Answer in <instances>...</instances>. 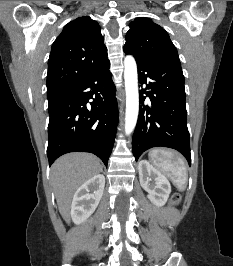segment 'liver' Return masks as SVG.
Here are the masks:
<instances>
[{
    "mask_svg": "<svg viewBox=\"0 0 233 266\" xmlns=\"http://www.w3.org/2000/svg\"><path fill=\"white\" fill-rule=\"evenodd\" d=\"M101 171L99 159L89 153H69L54 162L51 167V181L59 212L66 222H69L75 191Z\"/></svg>",
    "mask_w": 233,
    "mask_h": 266,
    "instance_id": "1",
    "label": "liver"
}]
</instances>
